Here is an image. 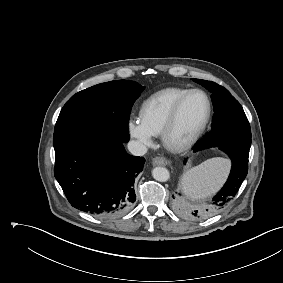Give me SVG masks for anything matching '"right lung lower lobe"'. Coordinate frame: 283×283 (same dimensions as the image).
Masks as SVG:
<instances>
[{"label": "right lung lower lobe", "instance_id": "98d812e1", "mask_svg": "<svg viewBox=\"0 0 283 283\" xmlns=\"http://www.w3.org/2000/svg\"><path fill=\"white\" fill-rule=\"evenodd\" d=\"M123 144L110 135L89 134L55 150L54 175L73 207L99 217L131 208L145 159L129 155Z\"/></svg>", "mask_w": 283, "mask_h": 283}]
</instances>
